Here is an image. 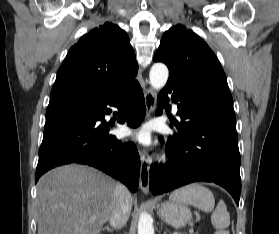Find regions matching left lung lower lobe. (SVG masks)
<instances>
[{"label": "left lung lower lobe", "mask_w": 279, "mask_h": 234, "mask_svg": "<svg viewBox=\"0 0 279 234\" xmlns=\"http://www.w3.org/2000/svg\"><path fill=\"white\" fill-rule=\"evenodd\" d=\"M168 94L178 102L181 123H173L179 133L168 137L170 161L150 167V190L159 195L195 181L214 182L239 204L241 158L233 101L189 89L169 78L157 98V115L168 105Z\"/></svg>", "instance_id": "obj_1"}]
</instances>
